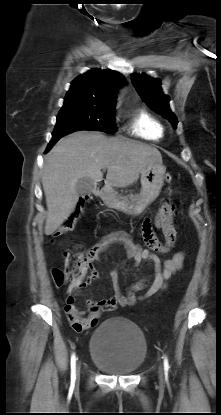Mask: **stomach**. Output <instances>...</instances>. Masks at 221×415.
Segmentation results:
<instances>
[{
	"mask_svg": "<svg viewBox=\"0 0 221 415\" xmlns=\"http://www.w3.org/2000/svg\"><path fill=\"white\" fill-rule=\"evenodd\" d=\"M165 167L162 164L148 165L141 171V190L139 194L117 195L111 190L102 194L105 204L127 215L137 216L160 194L164 184Z\"/></svg>",
	"mask_w": 221,
	"mask_h": 415,
	"instance_id": "stomach-1",
	"label": "stomach"
}]
</instances>
